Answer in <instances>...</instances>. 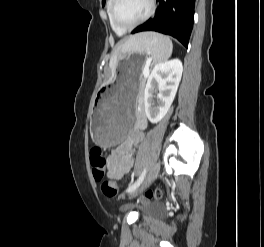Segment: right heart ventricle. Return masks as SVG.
<instances>
[{
    "label": "right heart ventricle",
    "instance_id": "obj_1",
    "mask_svg": "<svg viewBox=\"0 0 264 247\" xmlns=\"http://www.w3.org/2000/svg\"><path fill=\"white\" fill-rule=\"evenodd\" d=\"M112 3H113V0H107V4H106V12H107V16H108V21H109V24H110L111 28L113 29V31H115L117 34H120V35H121V34H124L125 31H123V30L117 28V27L113 24L112 19H111V12H110V10H111V5H112Z\"/></svg>",
    "mask_w": 264,
    "mask_h": 247
}]
</instances>
